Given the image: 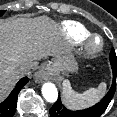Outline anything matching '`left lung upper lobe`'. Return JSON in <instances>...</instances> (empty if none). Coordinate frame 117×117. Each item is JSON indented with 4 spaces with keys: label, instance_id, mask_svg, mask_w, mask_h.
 <instances>
[{
    "label": "left lung upper lobe",
    "instance_id": "5c2ea615",
    "mask_svg": "<svg viewBox=\"0 0 117 117\" xmlns=\"http://www.w3.org/2000/svg\"><path fill=\"white\" fill-rule=\"evenodd\" d=\"M110 63L111 64L117 63V57L114 49H112L110 52Z\"/></svg>",
    "mask_w": 117,
    "mask_h": 117
}]
</instances>
